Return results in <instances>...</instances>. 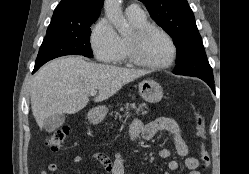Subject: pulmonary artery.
Instances as JSON below:
<instances>
[{
	"instance_id": "obj_1",
	"label": "pulmonary artery",
	"mask_w": 249,
	"mask_h": 174,
	"mask_svg": "<svg viewBox=\"0 0 249 174\" xmlns=\"http://www.w3.org/2000/svg\"><path fill=\"white\" fill-rule=\"evenodd\" d=\"M126 14L130 16H143L144 11L140 7V5L133 3L126 8Z\"/></svg>"
}]
</instances>
